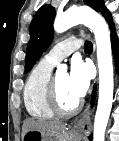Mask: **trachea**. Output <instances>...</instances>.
<instances>
[{
	"label": "trachea",
	"instance_id": "3493384b",
	"mask_svg": "<svg viewBox=\"0 0 119 141\" xmlns=\"http://www.w3.org/2000/svg\"><path fill=\"white\" fill-rule=\"evenodd\" d=\"M84 50L86 52H91L93 50V45L90 41H86L84 44Z\"/></svg>",
	"mask_w": 119,
	"mask_h": 141
}]
</instances>
